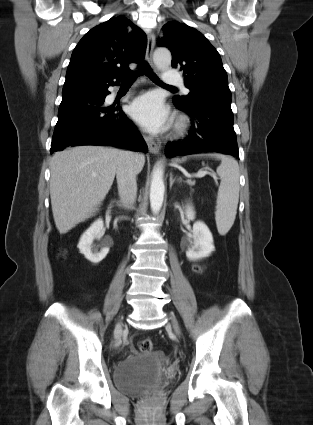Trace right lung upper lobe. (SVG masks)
Here are the masks:
<instances>
[{"mask_svg":"<svg viewBox=\"0 0 313 425\" xmlns=\"http://www.w3.org/2000/svg\"><path fill=\"white\" fill-rule=\"evenodd\" d=\"M146 45L145 33L125 17L95 26L75 47L64 87L119 82L132 73L130 63L142 61Z\"/></svg>","mask_w":313,"mask_h":425,"instance_id":"right-lung-upper-lobe-1","label":"right lung upper lobe"}]
</instances>
